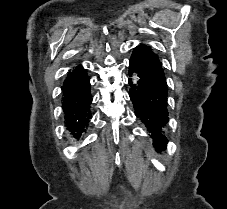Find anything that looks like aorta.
Returning a JSON list of instances; mask_svg holds the SVG:
<instances>
[{"label":"aorta","mask_w":227,"mask_h":209,"mask_svg":"<svg viewBox=\"0 0 227 209\" xmlns=\"http://www.w3.org/2000/svg\"><path fill=\"white\" fill-rule=\"evenodd\" d=\"M134 76H136V75H134ZM137 78H138V77H134L135 80H137Z\"/></svg>","instance_id":"762f6f07"}]
</instances>
